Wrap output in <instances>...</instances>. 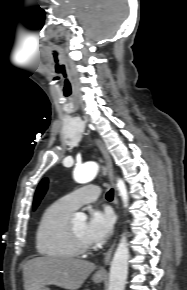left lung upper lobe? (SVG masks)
Returning a JSON list of instances; mask_svg holds the SVG:
<instances>
[{
    "mask_svg": "<svg viewBox=\"0 0 187 290\" xmlns=\"http://www.w3.org/2000/svg\"><path fill=\"white\" fill-rule=\"evenodd\" d=\"M47 186H48V180L45 178L41 181V183L39 184L36 193H35V198H34V203H33V207L36 208L40 202V200L42 199V197L44 196L46 190H47Z\"/></svg>",
    "mask_w": 187,
    "mask_h": 290,
    "instance_id": "left-lung-upper-lobe-1",
    "label": "left lung upper lobe"
}]
</instances>
